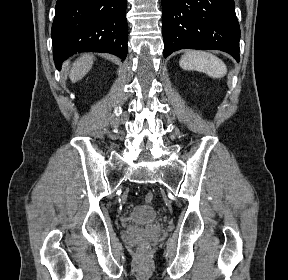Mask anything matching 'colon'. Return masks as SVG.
Instances as JSON below:
<instances>
[{
	"instance_id": "5ec220e1",
	"label": "colon",
	"mask_w": 288,
	"mask_h": 280,
	"mask_svg": "<svg viewBox=\"0 0 288 280\" xmlns=\"http://www.w3.org/2000/svg\"><path fill=\"white\" fill-rule=\"evenodd\" d=\"M144 201L147 203V204H152L153 201H154V195L152 193H147L145 196H144Z\"/></svg>"
}]
</instances>
